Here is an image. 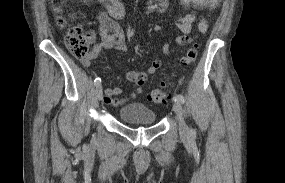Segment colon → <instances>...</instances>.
Masks as SVG:
<instances>
[{
	"label": "colon",
	"instance_id": "1",
	"mask_svg": "<svg viewBox=\"0 0 285 183\" xmlns=\"http://www.w3.org/2000/svg\"><path fill=\"white\" fill-rule=\"evenodd\" d=\"M67 0H53V7L57 13L56 21L61 28L69 24L70 15L65 10ZM94 40V34L90 31H84L80 26L68 27L65 36V45L68 51L76 58H86L90 53L91 44ZM198 56V45L191 46L186 56L183 58V64L189 66L195 62ZM149 98L154 103H166L170 99L168 84L162 83L150 92Z\"/></svg>",
	"mask_w": 285,
	"mask_h": 183
}]
</instances>
